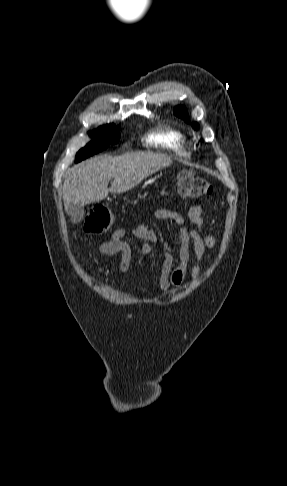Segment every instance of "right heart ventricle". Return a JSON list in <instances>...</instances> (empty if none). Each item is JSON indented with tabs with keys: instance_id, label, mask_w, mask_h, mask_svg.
<instances>
[{
	"instance_id": "obj_1",
	"label": "right heart ventricle",
	"mask_w": 287,
	"mask_h": 486,
	"mask_svg": "<svg viewBox=\"0 0 287 486\" xmlns=\"http://www.w3.org/2000/svg\"><path fill=\"white\" fill-rule=\"evenodd\" d=\"M146 141L153 146L162 147L181 155L186 153L187 139L184 133L171 126H161L152 131Z\"/></svg>"
}]
</instances>
